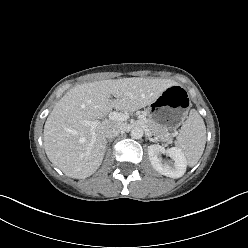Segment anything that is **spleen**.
<instances>
[{
  "label": "spleen",
  "instance_id": "3e777b00",
  "mask_svg": "<svg viewBox=\"0 0 248 248\" xmlns=\"http://www.w3.org/2000/svg\"><path fill=\"white\" fill-rule=\"evenodd\" d=\"M206 144V126L199 113L192 109L179 130L176 147L182 151L190 167L197 164Z\"/></svg>",
  "mask_w": 248,
  "mask_h": 248
}]
</instances>
